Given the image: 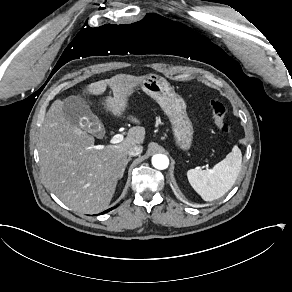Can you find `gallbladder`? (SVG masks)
<instances>
[{"mask_svg":"<svg viewBox=\"0 0 292 292\" xmlns=\"http://www.w3.org/2000/svg\"><path fill=\"white\" fill-rule=\"evenodd\" d=\"M62 110L66 118L78 127L88 130L90 123L98 122V117L93 114L90 107L79 96H69L62 104ZM105 131L102 133H96L97 138H103Z\"/></svg>","mask_w":292,"mask_h":292,"instance_id":"gallbladder-1","label":"gallbladder"}]
</instances>
